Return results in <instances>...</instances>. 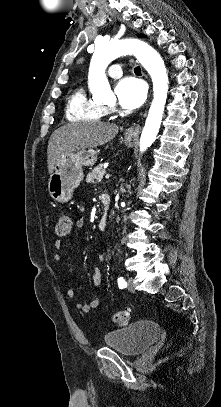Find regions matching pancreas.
Here are the masks:
<instances>
[{
    "label": "pancreas",
    "mask_w": 221,
    "mask_h": 407,
    "mask_svg": "<svg viewBox=\"0 0 221 407\" xmlns=\"http://www.w3.org/2000/svg\"><path fill=\"white\" fill-rule=\"evenodd\" d=\"M106 170L103 168L102 165H98L95 167L91 172L87 174L86 182L87 183H95L102 180Z\"/></svg>",
    "instance_id": "cf45deb5"
}]
</instances>
